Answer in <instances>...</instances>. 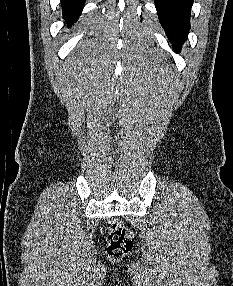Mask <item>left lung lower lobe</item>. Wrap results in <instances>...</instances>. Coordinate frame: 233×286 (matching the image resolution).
<instances>
[{
    "label": "left lung lower lobe",
    "instance_id": "obj_1",
    "mask_svg": "<svg viewBox=\"0 0 233 286\" xmlns=\"http://www.w3.org/2000/svg\"><path fill=\"white\" fill-rule=\"evenodd\" d=\"M193 0H155L159 21L177 51L190 29Z\"/></svg>",
    "mask_w": 233,
    "mask_h": 286
}]
</instances>
